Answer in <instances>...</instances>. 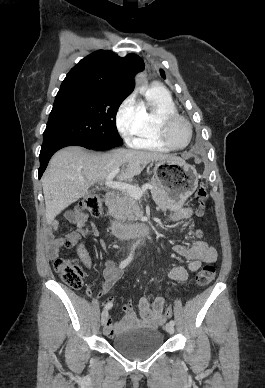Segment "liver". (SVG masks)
I'll return each mask as SVG.
<instances>
[{
    "mask_svg": "<svg viewBox=\"0 0 265 388\" xmlns=\"http://www.w3.org/2000/svg\"><path fill=\"white\" fill-rule=\"evenodd\" d=\"M158 160L184 162L182 158L147 150H112L102 156L86 154L79 146L59 150L51 158L42 178L47 224H52L60 212L85 196L95 182H103L115 168L122 166L117 180L123 182L138 176L147 164ZM80 178L85 182H81Z\"/></svg>",
    "mask_w": 265,
    "mask_h": 388,
    "instance_id": "liver-1",
    "label": "liver"
}]
</instances>
